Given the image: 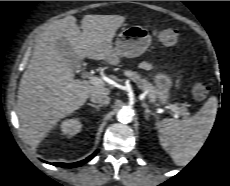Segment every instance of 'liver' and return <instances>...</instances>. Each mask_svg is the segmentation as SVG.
Masks as SVG:
<instances>
[{"instance_id": "liver-1", "label": "liver", "mask_w": 230, "mask_h": 186, "mask_svg": "<svg viewBox=\"0 0 230 186\" xmlns=\"http://www.w3.org/2000/svg\"><path fill=\"white\" fill-rule=\"evenodd\" d=\"M125 21L120 15H85L81 29L67 16L50 24L35 44L18 89L17 115L25 142L37 147L56 124L71 115L93 93L109 94L104 86L74 79L72 65L84 58L108 62L112 39ZM66 41L71 60L59 47Z\"/></svg>"}]
</instances>
